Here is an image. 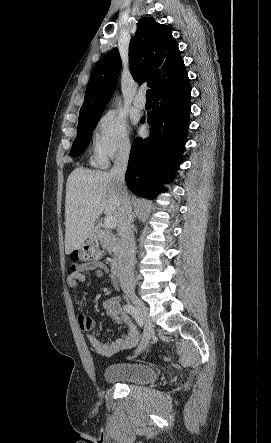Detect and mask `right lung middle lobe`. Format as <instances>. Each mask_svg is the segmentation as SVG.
Listing matches in <instances>:
<instances>
[{
	"instance_id": "dd1d6c3e",
	"label": "right lung middle lobe",
	"mask_w": 271,
	"mask_h": 443,
	"mask_svg": "<svg viewBox=\"0 0 271 443\" xmlns=\"http://www.w3.org/2000/svg\"><path fill=\"white\" fill-rule=\"evenodd\" d=\"M100 116L81 118L78 121L77 136L71 148V156L75 157L84 152L90 142L94 128Z\"/></svg>"
}]
</instances>
